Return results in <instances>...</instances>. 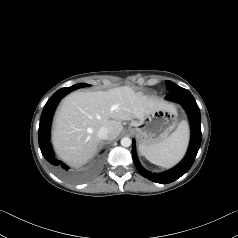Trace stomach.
Wrapping results in <instances>:
<instances>
[{
  "mask_svg": "<svg viewBox=\"0 0 238 238\" xmlns=\"http://www.w3.org/2000/svg\"><path fill=\"white\" fill-rule=\"evenodd\" d=\"M177 124V111L175 107L168 105L133 120L129 128L136 135L140 148H147L166 139Z\"/></svg>",
  "mask_w": 238,
  "mask_h": 238,
  "instance_id": "0dacf381",
  "label": "stomach"
}]
</instances>
